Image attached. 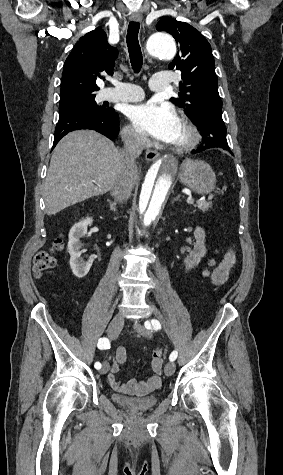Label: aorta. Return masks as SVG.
<instances>
[{"instance_id":"762f6f07","label":"aorta","mask_w":283,"mask_h":475,"mask_svg":"<svg viewBox=\"0 0 283 475\" xmlns=\"http://www.w3.org/2000/svg\"><path fill=\"white\" fill-rule=\"evenodd\" d=\"M151 56L171 60L176 54L174 39L165 33H155L147 41ZM178 161L172 155L157 160L149 168L141 187L134 229L138 233L150 230L159 220L177 173Z\"/></svg>"}]
</instances>
